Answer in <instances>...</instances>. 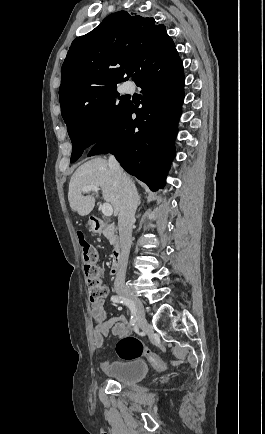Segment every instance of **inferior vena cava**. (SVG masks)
Listing matches in <instances>:
<instances>
[{
	"instance_id": "1",
	"label": "inferior vena cava",
	"mask_w": 265,
	"mask_h": 434,
	"mask_svg": "<svg viewBox=\"0 0 265 434\" xmlns=\"http://www.w3.org/2000/svg\"><path fill=\"white\" fill-rule=\"evenodd\" d=\"M108 166L114 172L120 194V212L118 214L120 258L119 270L116 274V282H119V280H125L131 248L132 226L135 222V212L139 202L135 184L122 172L114 156H110Z\"/></svg>"
}]
</instances>
